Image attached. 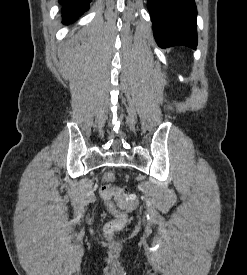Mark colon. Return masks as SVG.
Returning a JSON list of instances; mask_svg holds the SVG:
<instances>
[{
    "instance_id": "obj_1",
    "label": "colon",
    "mask_w": 247,
    "mask_h": 275,
    "mask_svg": "<svg viewBox=\"0 0 247 275\" xmlns=\"http://www.w3.org/2000/svg\"><path fill=\"white\" fill-rule=\"evenodd\" d=\"M114 179V175L111 172H107L103 175V180L106 182H111ZM100 195L108 203L112 213L115 218L108 221L103 228L104 234L106 236H112L117 231L124 228L128 221L126 212L133 211L138 205V197L135 194H129L125 190L118 187H111L109 185H103L99 189ZM114 199L119 207L122 209H117L111 202Z\"/></svg>"
}]
</instances>
